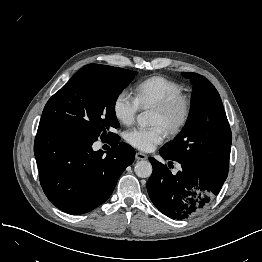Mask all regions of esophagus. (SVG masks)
I'll list each match as a JSON object with an SVG mask.
<instances>
[{"label": "esophagus", "instance_id": "1", "mask_svg": "<svg viewBox=\"0 0 262 262\" xmlns=\"http://www.w3.org/2000/svg\"><path fill=\"white\" fill-rule=\"evenodd\" d=\"M135 159L136 160H146L147 159V155L146 154H144V153H141V152H137L136 154H135Z\"/></svg>", "mask_w": 262, "mask_h": 262}]
</instances>
